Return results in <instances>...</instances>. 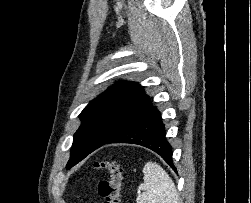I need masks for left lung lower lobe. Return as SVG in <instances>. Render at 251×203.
Instances as JSON below:
<instances>
[{
    "mask_svg": "<svg viewBox=\"0 0 251 203\" xmlns=\"http://www.w3.org/2000/svg\"><path fill=\"white\" fill-rule=\"evenodd\" d=\"M165 135L160 112L156 107H150L105 144L130 143L147 147L160 155L176 171L172 161L171 145Z\"/></svg>",
    "mask_w": 251,
    "mask_h": 203,
    "instance_id": "1",
    "label": "left lung lower lobe"
}]
</instances>
